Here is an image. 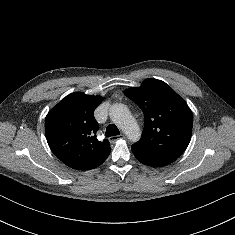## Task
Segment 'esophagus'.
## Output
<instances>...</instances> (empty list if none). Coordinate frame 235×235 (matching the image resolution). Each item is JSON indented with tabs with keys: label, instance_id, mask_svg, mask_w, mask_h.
<instances>
[{
	"label": "esophagus",
	"instance_id": "esophagus-1",
	"mask_svg": "<svg viewBox=\"0 0 235 235\" xmlns=\"http://www.w3.org/2000/svg\"><path fill=\"white\" fill-rule=\"evenodd\" d=\"M123 138H125V136H124L123 134L118 135V136H111V137L109 138V141H110L111 143H114V142H116L117 140L123 139Z\"/></svg>",
	"mask_w": 235,
	"mask_h": 235
}]
</instances>
